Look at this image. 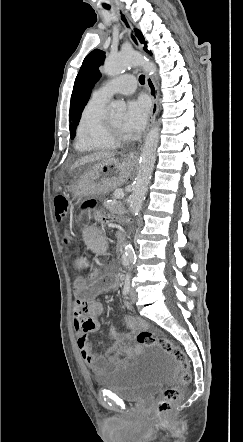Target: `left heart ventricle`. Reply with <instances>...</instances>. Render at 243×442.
Masks as SVG:
<instances>
[{
	"label": "left heart ventricle",
	"instance_id": "1",
	"mask_svg": "<svg viewBox=\"0 0 243 442\" xmlns=\"http://www.w3.org/2000/svg\"><path fill=\"white\" fill-rule=\"evenodd\" d=\"M123 120H124L123 115H117L109 118V121L114 126V128H116L122 133H125V130L123 128Z\"/></svg>",
	"mask_w": 243,
	"mask_h": 442
}]
</instances>
